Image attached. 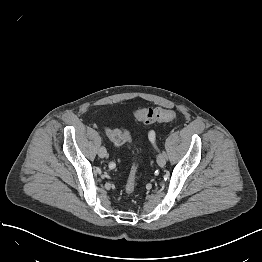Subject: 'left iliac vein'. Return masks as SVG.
I'll return each instance as SVG.
<instances>
[{
  "label": "left iliac vein",
  "instance_id": "4c4485c4",
  "mask_svg": "<svg viewBox=\"0 0 262 262\" xmlns=\"http://www.w3.org/2000/svg\"><path fill=\"white\" fill-rule=\"evenodd\" d=\"M157 163L160 167H164L166 163V155L164 152H160L157 157Z\"/></svg>",
  "mask_w": 262,
  "mask_h": 262
}]
</instances>
